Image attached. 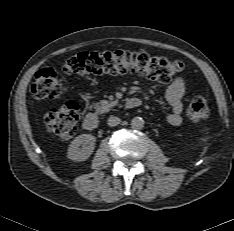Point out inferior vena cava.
Instances as JSON below:
<instances>
[{
  "instance_id": "1",
  "label": "inferior vena cava",
  "mask_w": 234,
  "mask_h": 231,
  "mask_svg": "<svg viewBox=\"0 0 234 231\" xmlns=\"http://www.w3.org/2000/svg\"><path fill=\"white\" fill-rule=\"evenodd\" d=\"M120 123V118L116 116H110L108 119V125L114 127Z\"/></svg>"
}]
</instances>
